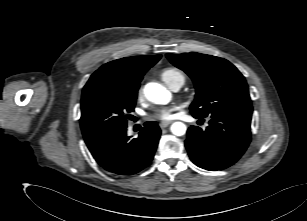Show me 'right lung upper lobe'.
I'll return each mask as SVG.
<instances>
[{"label": "right lung upper lobe", "instance_id": "1", "mask_svg": "<svg viewBox=\"0 0 307 221\" xmlns=\"http://www.w3.org/2000/svg\"><path fill=\"white\" fill-rule=\"evenodd\" d=\"M161 55L125 57L101 66L92 74L86 85L105 82L138 90L143 75L156 64Z\"/></svg>", "mask_w": 307, "mask_h": 221}]
</instances>
